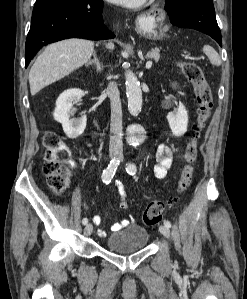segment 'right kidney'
Here are the masks:
<instances>
[{
  "label": "right kidney",
  "instance_id": "right-kidney-1",
  "mask_svg": "<svg viewBox=\"0 0 247 299\" xmlns=\"http://www.w3.org/2000/svg\"><path fill=\"white\" fill-rule=\"evenodd\" d=\"M83 95L84 92L80 89H68L56 101L54 119L62 124L64 133L70 139L79 137L86 128L87 118L85 115L80 118H70L76 112L74 104L79 102Z\"/></svg>",
  "mask_w": 247,
  "mask_h": 299
}]
</instances>
